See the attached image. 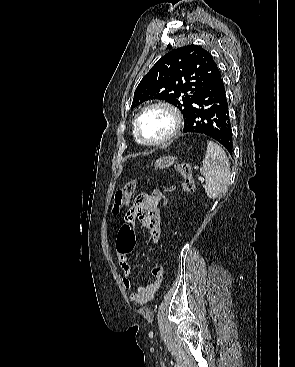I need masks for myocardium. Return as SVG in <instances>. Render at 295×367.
I'll return each instance as SVG.
<instances>
[{
    "label": "myocardium",
    "instance_id": "f54148a6",
    "mask_svg": "<svg viewBox=\"0 0 295 367\" xmlns=\"http://www.w3.org/2000/svg\"><path fill=\"white\" fill-rule=\"evenodd\" d=\"M155 108L164 109L171 115L173 119V127L170 133L166 135L165 137H163L162 139L155 140V141H147L143 139L140 134L139 121L145 112L151 109H155ZM181 126H182L181 115L179 111L173 105L166 103V102H154V103L144 106L137 113V115L135 116L134 122H133V132L139 143L146 145V146H161V145L171 142L180 132Z\"/></svg>",
    "mask_w": 295,
    "mask_h": 367
}]
</instances>
